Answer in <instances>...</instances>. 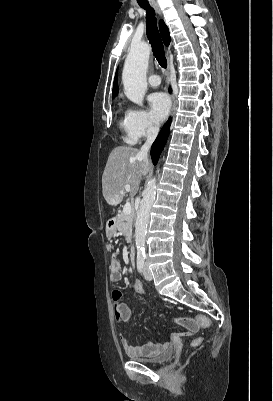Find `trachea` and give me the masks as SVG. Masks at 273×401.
<instances>
[{
	"label": "trachea",
	"mask_w": 273,
	"mask_h": 401,
	"mask_svg": "<svg viewBox=\"0 0 273 401\" xmlns=\"http://www.w3.org/2000/svg\"><path fill=\"white\" fill-rule=\"evenodd\" d=\"M140 6L146 10V33L152 47L153 55L155 56L159 65L163 68H166L167 60L165 57L161 36L157 27L154 8H152L150 5Z\"/></svg>",
	"instance_id": "3493384b"
}]
</instances>
